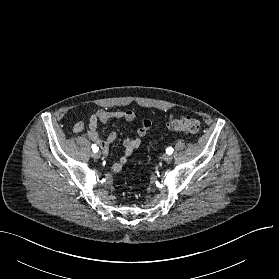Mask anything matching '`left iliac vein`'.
I'll list each match as a JSON object with an SVG mask.
<instances>
[{
	"mask_svg": "<svg viewBox=\"0 0 279 279\" xmlns=\"http://www.w3.org/2000/svg\"><path fill=\"white\" fill-rule=\"evenodd\" d=\"M162 158H163L164 161L170 162L173 157H172L171 154H164Z\"/></svg>",
	"mask_w": 279,
	"mask_h": 279,
	"instance_id": "left-iliac-vein-1",
	"label": "left iliac vein"
}]
</instances>
